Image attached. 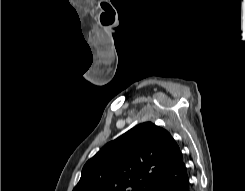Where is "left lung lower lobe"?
I'll return each mask as SVG.
<instances>
[{
    "label": "left lung lower lobe",
    "instance_id": "0a47b994",
    "mask_svg": "<svg viewBox=\"0 0 245 191\" xmlns=\"http://www.w3.org/2000/svg\"><path fill=\"white\" fill-rule=\"evenodd\" d=\"M153 191H190V182L182 155Z\"/></svg>",
    "mask_w": 245,
    "mask_h": 191
}]
</instances>
